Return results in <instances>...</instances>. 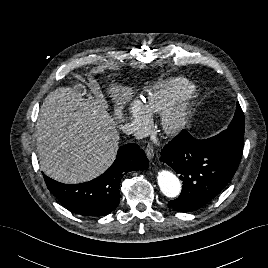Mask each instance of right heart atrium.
Returning <instances> with one entry per match:
<instances>
[{
    "label": "right heart atrium",
    "instance_id": "right-heart-atrium-1",
    "mask_svg": "<svg viewBox=\"0 0 268 268\" xmlns=\"http://www.w3.org/2000/svg\"><path fill=\"white\" fill-rule=\"evenodd\" d=\"M127 110L130 127L138 131L141 129V124L146 123L152 115L141 99H134ZM134 124H137V126L135 127Z\"/></svg>",
    "mask_w": 268,
    "mask_h": 268
}]
</instances>
